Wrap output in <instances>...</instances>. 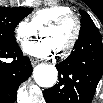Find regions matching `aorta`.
<instances>
[{
  "label": "aorta",
  "instance_id": "1",
  "mask_svg": "<svg viewBox=\"0 0 103 103\" xmlns=\"http://www.w3.org/2000/svg\"><path fill=\"white\" fill-rule=\"evenodd\" d=\"M33 77L40 87L50 88L56 83L58 72L53 65L41 64L35 67Z\"/></svg>",
  "mask_w": 103,
  "mask_h": 103
}]
</instances>
